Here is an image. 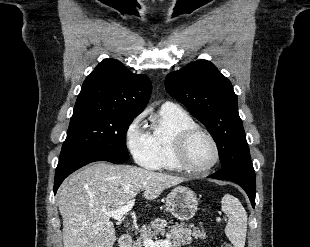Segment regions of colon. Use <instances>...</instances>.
Segmentation results:
<instances>
[{"mask_svg":"<svg viewBox=\"0 0 310 247\" xmlns=\"http://www.w3.org/2000/svg\"><path fill=\"white\" fill-rule=\"evenodd\" d=\"M222 247H233V246L231 244H229V243H225V244L222 245Z\"/></svg>","mask_w":310,"mask_h":247,"instance_id":"colon-1","label":"colon"}]
</instances>
